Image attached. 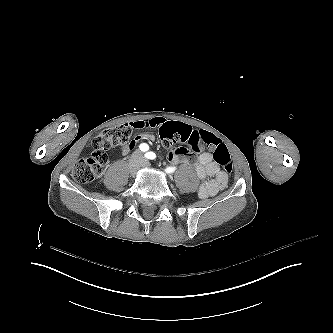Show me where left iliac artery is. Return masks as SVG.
I'll return each mask as SVG.
<instances>
[{"label": "left iliac artery", "mask_w": 333, "mask_h": 333, "mask_svg": "<svg viewBox=\"0 0 333 333\" xmlns=\"http://www.w3.org/2000/svg\"><path fill=\"white\" fill-rule=\"evenodd\" d=\"M148 159H155L156 155L153 152H149L146 154ZM175 170V167H169L166 169L167 173H172Z\"/></svg>", "instance_id": "1"}]
</instances>
